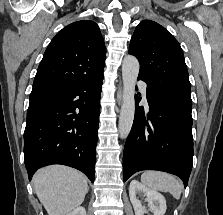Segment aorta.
Returning a JSON list of instances; mask_svg holds the SVG:
<instances>
[{
	"label": "aorta",
	"instance_id": "obj_1",
	"mask_svg": "<svg viewBox=\"0 0 223 215\" xmlns=\"http://www.w3.org/2000/svg\"><path fill=\"white\" fill-rule=\"evenodd\" d=\"M139 74V62L135 56H124L122 62L123 94L118 131L120 137H127L135 113V86Z\"/></svg>",
	"mask_w": 223,
	"mask_h": 215
}]
</instances>
